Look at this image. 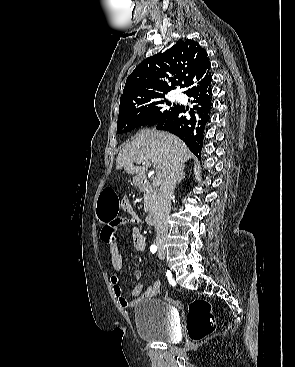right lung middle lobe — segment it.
<instances>
[{
    "label": "right lung middle lobe",
    "instance_id": "right-lung-middle-lobe-1",
    "mask_svg": "<svg viewBox=\"0 0 295 367\" xmlns=\"http://www.w3.org/2000/svg\"><path fill=\"white\" fill-rule=\"evenodd\" d=\"M166 105L170 106L171 103L165 99V95L127 103L119 111L117 133L128 132L140 126L155 125L179 107L173 104V107L167 109Z\"/></svg>",
    "mask_w": 295,
    "mask_h": 367
}]
</instances>
